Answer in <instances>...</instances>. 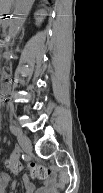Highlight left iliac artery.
Returning a JSON list of instances; mask_svg holds the SVG:
<instances>
[{
    "label": "left iliac artery",
    "mask_w": 103,
    "mask_h": 193,
    "mask_svg": "<svg viewBox=\"0 0 103 193\" xmlns=\"http://www.w3.org/2000/svg\"><path fill=\"white\" fill-rule=\"evenodd\" d=\"M10 131L15 134V135H19L20 134V130L18 128H16L14 125H10Z\"/></svg>",
    "instance_id": "44dca946"
}]
</instances>
